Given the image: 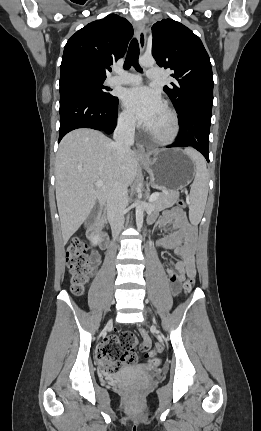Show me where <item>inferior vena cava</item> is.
Listing matches in <instances>:
<instances>
[{"instance_id": "obj_1", "label": "inferior vena cava", "mask_w": 261, "mask_h": 431, "mask_svg": "<svg viewBox=\"0 0 261 431\" xmlns=\"http://www.w3.org/2000/svg\"><path fill=\"white\" fill-rule=\"evenodd\" d=\"M135 120L128 117L121 121L115 131L113 138L114 146L120 158L130 151L134 144ZM127 187L116 186L107 197V217L109 219L113 238L116 239L124 226V214L127 204Z\"/></svg>"}]
</instances>
